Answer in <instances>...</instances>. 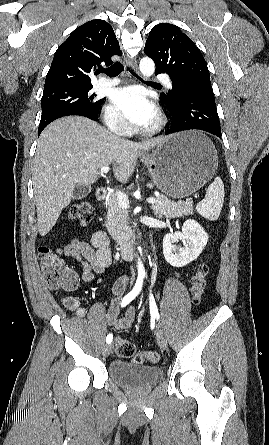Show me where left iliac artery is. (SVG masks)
<instances>
[{"label": "left iliac artery", "instance_id": "44dca946", "mask_svg": "<svg viewBox=\"0 0 269 445\" xmlns=\"http://www.w3.org/2000/svg\"><path fill=\"white\" fill-rule=\"evenodd\" d=\"M149 298H150V313L154 318L159 319V312H158L157 305H156V302H155V299H154V296L152 293H150Z\"/></svg>", "mask_w": 269, "mask_h": 445}]
</instances>
